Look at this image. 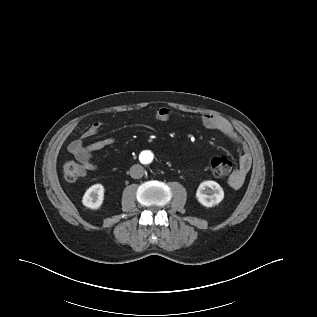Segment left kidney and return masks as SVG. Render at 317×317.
I'll return each instance as SVG.
<instances>
[{
    "mask_svg": "<svg viewBox=\"0 0 317 317\" xmlns=\"http://www.w3.org/2000/svg\"><path fill=\"white\" fill-rule=\"evenodd\" d=\"M224 197L222 187L215 181H203L200 183L196 198L205 207H213L219 204Z\"/></svg>",
    "mask_w": 317,
    "mask_h": 317,
    "instance_id": "left-kidney-1",
    "label": "left kidney"
}]
</instances>
